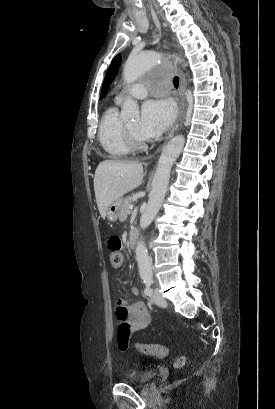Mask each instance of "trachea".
I'll use <instances>...</instances> for the list:
<instances>
[{
	"instance_id": "trachea-1",
	"label": "trachea",
	"mask_w": 275,
	"mask_h": 409,
	"mask_svg": "<svg viewBox=\"0 0 275 409\" xmlns=\"http://www.w3.org/2000/svg\"><path fill=\"white\" fill-rule=\"evenodd\" d=\"M173 83H174L175 88H178V86H179V77H174Z\"/></svg>"
}]
</instances>
